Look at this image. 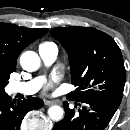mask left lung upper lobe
Returning <instances> with one entry per match:
<instances>
[{
	"label": "left lung upper lobe",
	"mask_w": 130,
	"mask_h": 130,
	"mask_svg": "<svg viewBox=\"0 0 130 130\" xmlns=\"http://www.w3.org/2000/svg\"><path fill=\"white\" fill-rule=\"evenodd\" d=\"M50 34L69 56L72 101L99 98L120 105L125 85L122 53L112 37L91 27L54 28Z\"/></svg>",
	"instance_id": "1"
}]
</instances>
